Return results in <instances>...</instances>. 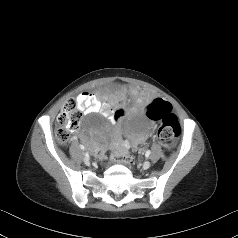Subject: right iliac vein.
<instances>
[{"label": "right iliac vein", "instance_id": "obj_1", "mask_svg": "<svg viewBox=\"0 0 238 238\" xmlns=\"http://www.w3.org/2000/svg\"><path fill=\"white\" fill-rule=\"evenodd\" d=\"M84 162H85L87 165H90L89 159H88L87 157L84 158Z\"/></svg>", "mask_w": 238, "mask_h": 238}]
</instances>
